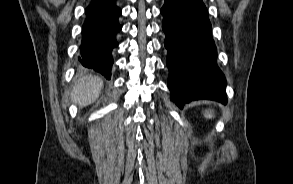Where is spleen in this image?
Here are the masks:
<instances>
[{
    "label": "spleen",
    "instance_id": "spleen-1",
    "mask_svg": "<svg viewBox=\"0 0 293 184\" xmlns=\"http://www.w3.org/2000/svg\"><path fill=\"white\" fill-rule=\"evenodd\" d=\"M204 116H205L206 118L211 119V118H213V112H212L211 110H205V112H204Z\"/></svg>",
    "mask_w": 293,
    "mask_h": 184
}]
</instances>
